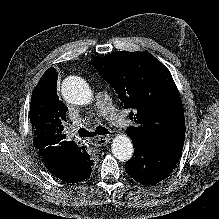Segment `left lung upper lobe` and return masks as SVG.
<instances>
[{
	"instance_id": "obj_1",
	"label": "left lung upper lobe",
	"mask_w": 219,
	"mask_h": 219,
	"mask_svg": "<svg viewBox=\"0 0 219 219\" xmlns=\"http://www.w3.org/2000/svg\"><path fill=\"white\" fill-rule=\"evenodd\" d=\"M91 64L110 83L135 122L126 132L167 150L183 148L184 110L169 70L148 52L117 51Z\"/></svg>"
}]
</instances>
